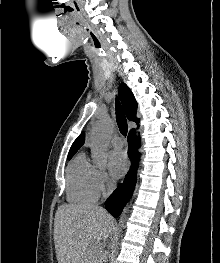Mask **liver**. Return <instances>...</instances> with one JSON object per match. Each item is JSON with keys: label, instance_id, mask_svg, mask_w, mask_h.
Instances as JSON below:
<instances>
[{"label": "liver", "instance_id": "obj_1", "mask_svg": "<svg viewBox=\"0 0 220 263\" xmlns=\"http://www.w3.org/2000/svg\"><path fill=\"white\" fill-rule=\"evenodd\" d=\"M114 218L93 204L58 207L54 221V243L58 263H93V252L114 229Z\"/></svg>", "mask_w": 220, "mask_h": 263}]
</instances>
